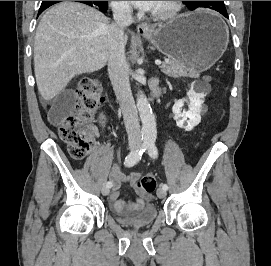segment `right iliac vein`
Wrapping results in <instances>:
<instances>
[{
    "label": "right iliac vein",
    "instance_id": "obj_1",
    "mask_svg": "<svg viewBox=\"0 0 271 266\" xmlns=\"http://www.w3.org/2000/svg\"><path fill=\"white\" fill-rule=\"evenodd\" d=\"M137 146L136 144H129V149H135ZM101 192L104 196L108 195L109 192H110V188L107 186V185H103L102 188H101Z\"/></svg>",
    "mask_w": 271,
    "mask_h": 266
}]
</instances>
